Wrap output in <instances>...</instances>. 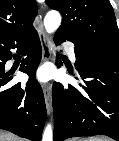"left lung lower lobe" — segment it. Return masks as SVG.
<instances>
[{"mask_svg":"<svg viewBox=\"0 0 119 141\" xmlns=\"http://www.w3.org/2000/svg\"><path fill=\"white\" fill-rule=\"evenodd\" d=\"M66 40L73 42L64 34H55L56 45ZM74 50L83 81L79 87L53 84L54 141L100 134L119 141V60L89 57L76 45ZM56 64H62L59 57Z\"/></svg>","mask_w":119,"mask_h":141,"instance_id":"obj_1","label":"left lung lower lobe"}]
</instances>
